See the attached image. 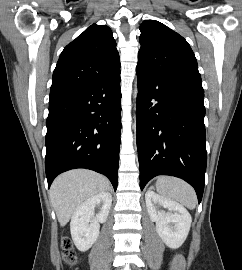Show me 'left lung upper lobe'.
I'll return each mask as SVG.
<instances>
[{
  "instance_id": "obj_1",
  "label": "left lung upper lobe",
  "mask_w": 242,
  "mask_h": 270,
  "mask_svg": "<svg viewBox=\"0 0 242 270\" xmlns=\"http://www.w3.org/2000/svg\"><path fill=\"white\" fill-rule=\"evenodd\" d=\"M140 31L137 67L163 81L204 92L197 60L182 36L156 20L143 21Z\"/></svg>"
}]
</instances>
